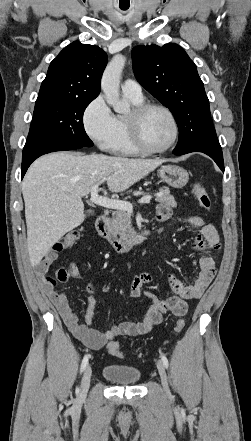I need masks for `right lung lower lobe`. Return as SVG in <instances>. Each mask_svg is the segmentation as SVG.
<instances>
[{
  "mask_svg": "<svg viewBox=\"0 0 251 441\" xmlns=\"http://www.w3.org/2000/svg\"><path fill=\"white\" fill-rule=\"evenodd\" d=\"M80 148H85V146L64 144L38 136L28 137L22 155V178L30 164L41 155L54 151L75 150Z\"/></svg>",
  "mask_w": 251,
  "mask_h": 441,
  "instance_id": "right-lung-lower-lobe-1",
  "label": "right lung lower lobe"
}]
</instances>
